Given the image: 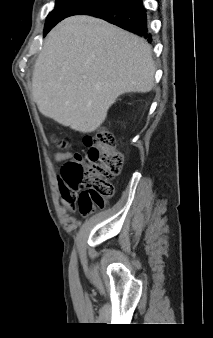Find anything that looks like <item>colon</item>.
Returning a JSON list of instances; mask_svg holds the SVG:
<instances>
[{"mask_svg": "<svg viewBox=\"0 0 213 338\" xmlns=\"http://www.w3.org/2000/svg\"><path fill=\"white\" fill-rule=\"evenodd\" d=\"M88 150L76 154L61 167L60 185L73 193H81L80 211L87 215L105 206L104 198L112 197V180L121 172L122 153L114 137L105 131L85 135Z\"/></svg>", "mask_w": 213, "mask_h": 338, "instance_id": "obj_1", "label": "colon"}]
</instances>
